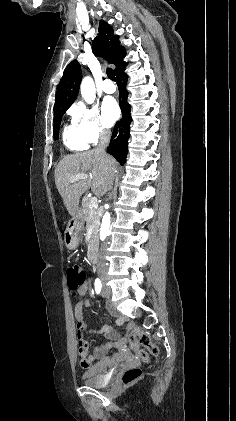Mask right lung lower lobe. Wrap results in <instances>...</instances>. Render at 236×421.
<instances>
[{"label": "right lung lower lobe", "instance_id": "1", "mask_svg": "<svg viewBox=\"0 0 236 421\" xmlns=\"http://www.w3.org/2000/svg\"><path fill=\"white\" fill-rule=\"evenodd\" d=\"M125 67L126 64L115 73L120 94L119 105L123 112V117L116 123L110 145L107 148V152L114 156L118 162H121V165H124L126 161L128 139L130 137V123L132 122L130 114L131 106L127 102L128 93L125 89L127 82V75L124 73Z\"/></svg>", "mask_w": 236, "mask_h": 421}]
</instances>
